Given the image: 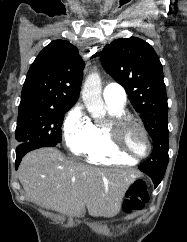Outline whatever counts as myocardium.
<instances>
[{
    "mask_svg": "<svg viewBox=\"0 0 187 242\" xmlns=\"http://www.w3.org/2000/svg\"><path fill=\"white\" fill-rule=\"evenodd\" d=\"M130 127L138 129L144 136L147 143V151L141 156L132 155L127 151L124 146V134L126 130ZM106 131L108 135L109 143L112 149L121 156L129 158L134 162L141 161L147 158L152 151V143L149 138L148 132L146 129L135 119L131 118L128 115H118L111 117L109 122L106 125Z\"/></svg>",
    "mask_w": 187,
    "mask_h": 242,
    "instance_id": "1",
    "label": "myocardium"
}]
</instances>
